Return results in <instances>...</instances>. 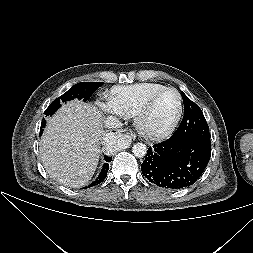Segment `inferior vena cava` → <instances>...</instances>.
I'll list each match as a JSON object with an SVG mask.
<instances>
[{
    "mask_svg": "<svg viewBox=\"0 0 253 253\" xmlns=\"http://www.w3.org/2000/svg\"><path fill=\"white\" fill-rule=\"evenodd\" d=\"M105 127L109 128V129L120 128V127H122V123L119 121L118 118H116L114 116H109L105 120Z\"/></svg>",
    "mask_w": 253,
    "mask_h": 253,
    "instance_id": "1",
    "label": "inferior vena cava"
}]
</instances>
